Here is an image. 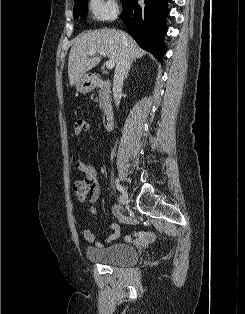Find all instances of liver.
<instances>
[{"label": "liver", "instance_id": "obj_1", "mask_svg": "<svg viewBox=\"0 0 245 314\" xmlns=\"http://www.w3.org/2000/svg\"><path fill=\"white\" fill-rule=\"evenodd\" d=\"M127 49L130 61H135L147 52L141 49L127 33L116 29H100L80 35L74 42L68 61L70 85L76 82L100 62V57L89 58V51H104L117 64L122 52Z\"/></svg>", "mask_w": 245, "mask_h": 314}]
</instances>
